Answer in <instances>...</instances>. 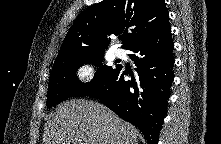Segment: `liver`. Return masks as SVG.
<instances>
[{
  "label": "liver",
  "mask_w": 221,
  "mask_h": 144,
  "mask_svg": "<svg viewBox=\"0 0 221 144\" xmlns=\"http://www.w3.org/2000/svg\"><path fill=\"white\" fill-rule=\"evenodd\" d=\"M138 130L105 105L72 99L47 120L44 144H138Z\"/></svg>",
  "instance_id": "liver-1"
}]
</instances>
